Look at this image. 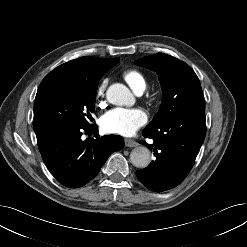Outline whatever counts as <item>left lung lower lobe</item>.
Here are the masks:
<instances>
[{
	"label": "left lung lower lobe",
	"instance_id": "1",
	"mask_svg": "<svg viewBox=\"0 0 247 247\" xmlns=\"http://www.w3.org/2000/svg\"><path fill=\"white\" fill-rule=\"evenodd\" d=\"M206 134L205 114L178 115L143 136L153 144L140 141L154 152L155 160L136 171L148 189L162 192L179 185L190 172Z\"/></svg>",
	"mask_w": 247,
	"mask_h": 247
}]
</instances>
